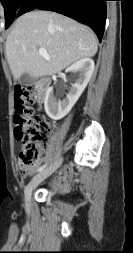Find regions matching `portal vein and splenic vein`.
<instances>
[{"label":"portal vein and splenic vein","mask_w":133,"mask_h":253,"mask_svg":"<svg viewBox=\"0 0 133 253\" xmlns=\"http://www.w3.org/2000/svg\"><path fill=\"white\" fill-rule=\"evenodd\" d=\"M38 51L41 56L45 57L47 60H50V57L45 48H39Z\"/></svg>","instance_id":"obj_1"}]
</instances>
